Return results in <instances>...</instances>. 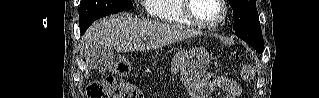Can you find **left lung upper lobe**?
I'll use <instances>...</instances> for the list:
<instances>
[{"instance_id":"5c2ea615","label":"left lung upper lobe","mask_w":319,"mask_h":98,"mask_svg":"<svg viewBox=\"0 0 319 98\" xmlns=\"http://www.w3.org/2000/svg\"><path fill=\"white\" fill-rule=\"evenodd\" d=\"M233 8L235 34L258 52L263 51V37L255 0H229Z\"/></svg>"}]
</instances>
